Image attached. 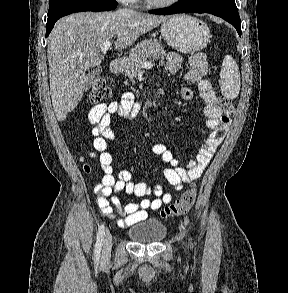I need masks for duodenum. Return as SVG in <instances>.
<instances>
[{
	"label": "duodenum",
	"mask_w": 288,
	"mask_h": 293,
	"mask_svg": "<svg viewBox=\"0 0 288 293\" xmlns=\"http://www.w3.org/2000/svg\"><path fill=\"white\" fill-rule=\"evenodd\" d=\"M123 66H124V62L122 59L120 58L114 59L110 64V71L111 73L117 74L122 71Z\"/></svg>",
	"instance_id": "1"
}]
</instances>
